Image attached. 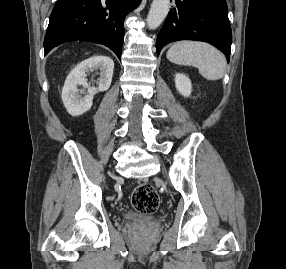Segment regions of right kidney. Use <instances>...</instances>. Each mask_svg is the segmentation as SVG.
I'll use <instances>...</instances> for the list:
<instances>
[{"label":"right kidney","mask_w":286,"mask_h":269,"mask_svg":"<svg viewBox=\"0 0 286 269\" xmlns=\"http://www.w3.org/2000/svg\"><path fill=\"white\" fill-rule=\"evenodd\" d=\"M99 70L98 87H91L86 79L87 73ZM114 70V62L107 56H94L79 63L68 75L63 90L62 101L69 114L72 116L82 115L87 112L93 104V97L98 91L109 89ZM87 88L79 90L78 87ZM82 94H85L82 96Z\"/></svg>","instance_id":"1"}]
</instances>
